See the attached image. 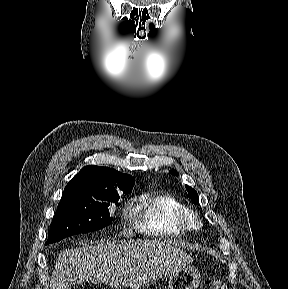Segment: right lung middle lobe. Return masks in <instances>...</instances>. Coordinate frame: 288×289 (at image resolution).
Wrapping results in <instances>:
<instances>
[{"instance_id":"obj_1","label":"right lung middle lobe","mask_w":288,"mask_h":289,"mask_svg":"<svg viewBox=\"0 0 288 289\" xmlns=\"http://www.w3.org/2000/svg\"><path fill=\"white\" fill-rule=\"evenodd\" d=\"M131 190L123 191L130 193ZM118 191H105L95 195L65 194L50 226L46 244H52L65 237L99 230L109 225L112 221L108 206L118 203Z\"/></svg>"}]
</instances>
